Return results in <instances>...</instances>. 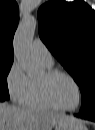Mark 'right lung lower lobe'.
<instances>
[{
    "label": "right lung lower lobe",
    "instance_id": "right-lung-lower-lobe-1",
    "mask_svg": "<svg viewBox=\"0 0 95 130\" xmlns=\"http://www.w3.org/2000/svg\"><path fill=\"white\" fill-rule=\"evenodd\" d=\"M9 98H6V97H0V101H5V100H8Z\"/></svg>",
    "mask_w": 95,
    "mask_h": 130
}]
</instances>
